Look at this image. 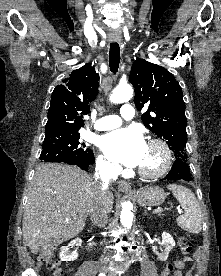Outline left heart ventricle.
I'll use <instances>...</instances> for the list:
<instances>
[{
  "mask_svg": "<svg viewBox=\"0 0 221 276\" xmlns=\"http://www.w3.org/2000/svg\"><path fill=\"white\" fill-rule=\"evenodd\" d=\"M161 158V153L157 148L147 146L144 158L139 166L145 169H155L160 165Z\"/></svg>",
  "mask_w": 221,
  "mask_h": 276,
  "instance_id": "left-heart-ventricle-1",
  "label": "left heart ventricle"
}]
</instances>
